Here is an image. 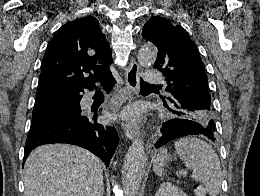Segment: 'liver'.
Segmentation results:
<instances>
[{"label":"liver","instance_id":"6515ba94","mask_svg":"<svg viewBox=\"0 0 260 196\" xmlns=\"http://www.w3.org/2000/svg\"><path fill=\"white\" fill-rule=\"evenodd\" d=\"M24 196H102L103 170L94 154L69 144L38 146L23 170Z\"/></svg>","mask_w":260,"mask_h":196}]
</instances>
